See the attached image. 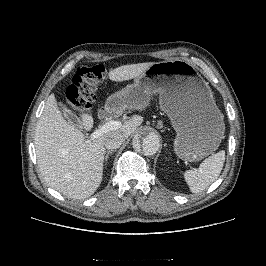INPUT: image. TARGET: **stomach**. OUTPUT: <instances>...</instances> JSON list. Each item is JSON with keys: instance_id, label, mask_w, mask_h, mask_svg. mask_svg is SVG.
Returning <instances> with one entry per match:
<instances>
[{"instance_id": "stomach-1", "label": "stomach", "mask_w": 266, "mask_h": 266, "mask_svg": "<svg viewBox=\"0 0 266 266\" xmlns=\"http://www.w3.org/2000/svg\"><path fill=\"white\" fill-rule=\"evenodd\" d=\"M156 93L162 111L176 131L174 152L178 158L196 162L218 148L225 129L223 115L208 83L186 61L152 64L133 84L111 95L107 107L142 109Z\"/></svg>"}]
</instances>
